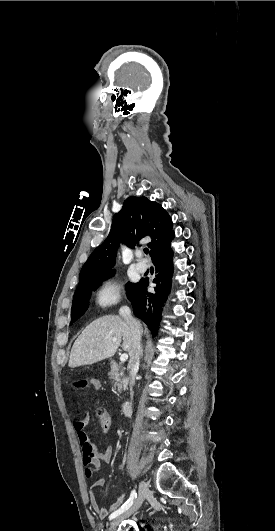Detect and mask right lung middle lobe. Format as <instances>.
<instances>
[{"instance_id":"obj_1","label":"right lung middle lobe","mask_w":275,"mask_h":531,"mask_svg":"<svg viewBox=\"0 0 275 531\" xmlns=\"http://www.w3.org/2000/svg\"><path fill=\"white\" fill-rule=\"evenodd\" d=\"M114 275V271L95 277L93 279L88 280L85 282L81 287L76 289V292L73 297V303L71 308V323H74L78 318H80L85 310L88 307V300L90 298L92 290H96L99 285L111 276ZM134 285V283H128L126 286L127 294L129 293L131 287Z\"/></svg>"}]
</instances>
